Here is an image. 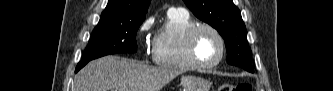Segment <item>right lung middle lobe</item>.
Here are the masks:
<instances>
[{
	"mask_svg": "<svg viewBox=\"0 0 333 91\" xmlns=\"http://www.w3.org/2000/svg\"><path fill=\"white\" fill-rule=\"evenodd\" d=\"M145 17L130 19L100 18L94 28L82 61L115 53H135L136 33Z\"/></svg>",
	"mask_w": 333,
	"mask_h": 91,
	"instance_id": "obj_1",
	"label": "right lung middle lobe"
}]
</instances>
